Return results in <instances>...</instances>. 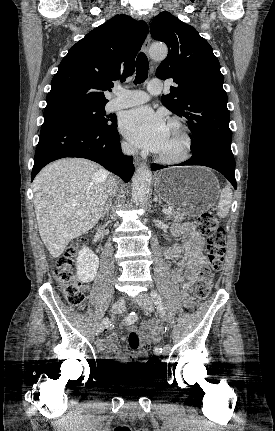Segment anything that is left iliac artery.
<instances>
[{"label":"left iliac artery","mask_w":275,"mask_h":431,"mask_svg":"<svg viewBox=\"0 0 275 431\" xmlns=\"http://www.w3.org/2000/svg\"><path fill=\"white\" fill-rule=\"evenodd\" d=\"M151 298H152V300H153V302H154L157 310L161 313L162 317H165L166 314H165V311H164L163 302H162V299H161L160 295L158 294V292L155 291V290H153L151 292ZM154 352L156 354H161L162 353V348L160 346H156L155 349H154Z\"/></svg>","instance_id":"obj_1"}]
</instances>
